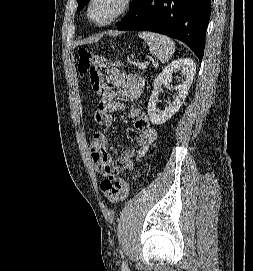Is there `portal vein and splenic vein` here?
<instances>
[{
	"label": "portal vein and splenic vein",
	"mask_w": 253,
	"mask_h": 271,
	"mask_svg": "<svg viewBox=\"0 0 253 271\" xmlns=\"http://www.w3.org/2000/svg\"><path fill=\"white\" fill-rule=\"evenodd\" d=\"M147 66H146V64H144V63H140L139 64V68L140 69H145Z\"/></svg>",
	"instance_id": "18ae733b"
}]
</instances>
